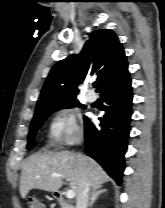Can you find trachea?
<instances>
[{"label": "trachea", "mask_w": 165, "mask_h": 208, "mask_svg": "<svg viewBox=\"0 0 165 208\" xmlns=\"http://www.w3.org/2000/svg\"><path fill=\"white\" fill-rule=\"evenodd\" d=\"M93 85H94V87H97V86H98V83H97V82H95Z\"/></svg>", "instance_id": "trachea-1"}]
</instances>
